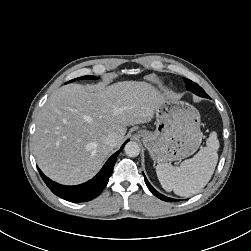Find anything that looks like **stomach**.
Returning a JSON list of instances; mask_svg holds the SVG:
<instances>
[{"mask_svg": "<svg viewBox=\"0 0 251 251\" xmlns=\"http://www.w3.org/2000/svg\"><path fill=\"white\" fill-rule=\"evenodd\" d=\"M155 112V131L138 132L151 158L171 162L194 154L202 141L198 110L174 96H165Z\"/></svg>", "mask_w": 251, "mask_h": 251, "instance_id": "obj_1", "label": "stomach"}]
</instances>
